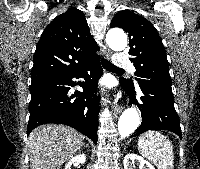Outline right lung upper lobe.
<instances>
[{
	"label": "right lung upper lobe",
	"instance_id": "obj_1",
	"mask_svg": "<svg viewBox=\"0 0 200 169\" xmlns=\"http://www.w3.org/2000/svg\"><path fill=\"white\" fill-rule=\"evenodd\" d=\"M98 50L84 13L69 8L42 33L33 58L32 84L78 70L98 57L95 54Z\"/></svg>",
	"mask_w": 200,
	"mask_h": 169
}]
</instances>
